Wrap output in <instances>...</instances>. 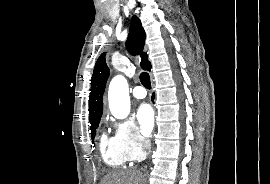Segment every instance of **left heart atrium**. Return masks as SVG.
I'll use <instances>...</instances> for the list:
<instances>
[{
    "mask_svg": "<svg viewBox=\"0 0 270 184\" xmlns=\"http://www.w3.org/2000/svg\"><path fill=\"white\" fill-rule=\"evenodd\" d=\"M137 120L141 131L149 135L154 124V112L150 105L142 104L137 110Z\"/></svg>",
    "mask_w": 270,
    "mask_h": 184,
    "instance_id": "39dd6f15",
    "label": "left heart atrium"
}]
</instances>
